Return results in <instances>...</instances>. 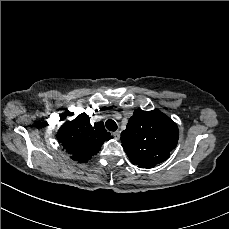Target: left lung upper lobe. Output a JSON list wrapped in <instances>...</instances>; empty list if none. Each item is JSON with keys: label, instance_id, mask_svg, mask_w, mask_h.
<instances>
[{"label": "left lung upper lobe", "instance_id": "obj_1", "mask_svg": "<svg viewBox=\"0 0 229 229\" xmlns=\"http://www.w3.org/2000/svg\"><path fill=\"white\" fill-rule=\"evenodd\" d=\"M178 137L176 123L158 110H135L121 133L122 146L130 161L148 169L169 158Z\"/></svg>", "mask_w": 229, "mask_h": 229}]
</instances>
